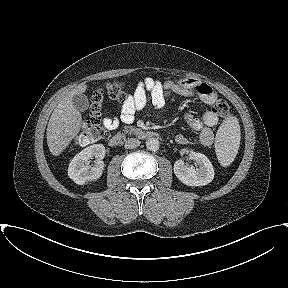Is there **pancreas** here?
Segmentation results:
<instances>
[{"mask_svg":"<svg viewBox=\"0 0 288 288\" xmlns=\"http://www.w3.org/2000/svg\"><path fill=\"white\" fill-rule=\"evenodd\" d=\"M137 129L134 127V126H125L124 127V131L125 132H134V131H136Z\"/></svg>","mask_w":288,"mask_h":288,"instance_id":"1","label":"pancreas"}]
</instances>
